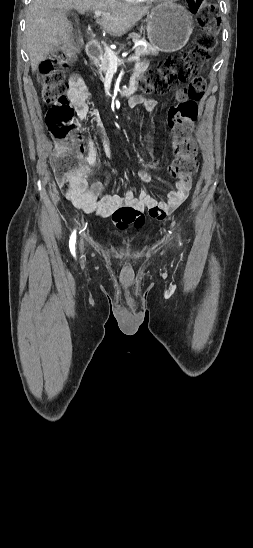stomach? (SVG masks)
Listing matches in <instances>:
<instances>
[{"instance_id": "1", "label": "stomach", "mask_w": 253, "mask_h": 548, "mask_svg": "<svg viewBox=\"0 0 253 548\" xmlns=\"http://www.w3.org/2000/svg\"><path fill=\"white\" fill-rule=\"evenodd\" d=\"M146 22L150 43L163 52H174L184 47L193 31L190 13L175 3L154 7Z\"/></svg>"}]
</instances>
